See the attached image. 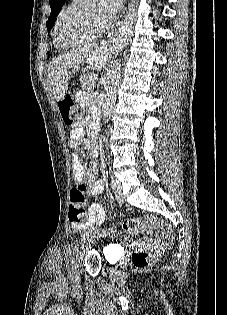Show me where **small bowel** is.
<instances>
[{"mask_svg": "<svg viewBox=\"0 0 227 315\" xmlns=\"http://www.w3.org/2000/svg\"><path fill=\"white\" fill-rule=\"evenodd\" d=\"M76 97L82 100L85 95L82 93H77ZM84 131L80 125H74L70 131L69 146L71 148V158H72V170H73V180L75 183H85L87 184V195L95 196L102 192L103 185L100 180L96 177V154L94 151L89 153V165L90 167L86 170L80 159V143L86 148H91V142L89 140H83ZM105 218L104 207L100 204L94 203L89 206V214L86 222L74 223L71 221L72 228L75 230H84L90 227L92 224H98L102 222ZM160 241H154L151 243L153 248L160 245Z\"/></svg>", "mask_w": 227, "mask_h": 315, "instance_id": "small-bowel-1", "label": "small bowel"}]
</instances>
